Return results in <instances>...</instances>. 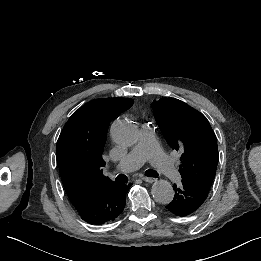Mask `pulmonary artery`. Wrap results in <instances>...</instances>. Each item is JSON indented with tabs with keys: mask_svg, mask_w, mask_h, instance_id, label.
Masks as SVG:
<instances>
[{
	"mask_svg": "<svg viewBox=\"0 0 261 261\" xmlns=\"http://www.w3.org/2000/svg\"><path fill=\"white\" fill-rule=\"evenodd\" d=\"M146 161L155 163L167 182L176 183L180 180V171L175 168L170 158L161 152L154 128L150 123L144 122L140 126V134L136 145L119 162L113 173L134 171Z\"/></svg>",
	"mask_w": 261,
	"mask_h": 261,
	"instance_id": "1",
	"label": "pulmonary artery"
}]
</instances>
